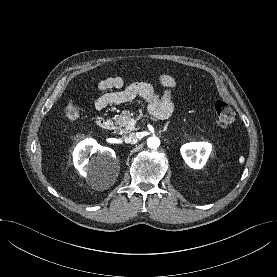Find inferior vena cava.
<instances>
[{
    "label": "inferior vena cava",
    "mask_w": 277,
    "mask_h": 277,
    "mask_svg": "<svg viewBox=\"0 0 277 277\" xmlns=\"http://www.w3.org/2000/svg\"><path fill=\"white\" fill-rule=\"evenodd\" d=\"M123 140L125 143H134L138 141V136L135 133H130L128 135H123Z\"/></svg>",
    "instance_id": "obj_1"
}]
</instances>
